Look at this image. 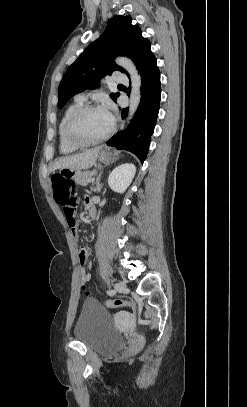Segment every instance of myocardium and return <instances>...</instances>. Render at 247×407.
<instances>
[{"label": "myocardium", "instance_id": "1", "mask_svg": "<svg viewBox=\"0 0 247 407\" xmlns=\"http://www.w3.org/2000/svg\"><path fill=\"white\" fill-rule=\"evenodd\" d=\"M96 109H102L101 106L96 105V104H82L78 108H76L72 114L69 116L67 123H66V128H65V134L66 138L74 146L77 147H88V146H93L100 144L107 139H109L112 134L115 131V125L112 123V126L110 130L102 137L95 139V140H83L79 136H77L75 132V125L77 120L86 112L91 111V110H96Z\"/></svg>", "mask_w": 247, "mask_h": 407}]
</instances>
